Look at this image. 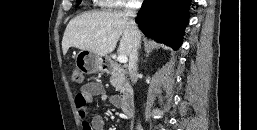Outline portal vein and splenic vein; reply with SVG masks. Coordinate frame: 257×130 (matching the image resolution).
<instances>
[{"label":"portal vein and splenic vein","mask_w":257,"mask_h":130,"mask_svg":"<svg viewBox=\"0 0 257 130\" xmlns=\"http://www.w3.org/2000/svg\"><path fill=\"white\" fill-rule=\"evenodd\" d=\"M118 62L120 63H126L128 61V58L127 56L125 55H119L118 58H117Z\"/></svg>","instance_id":"1"}]
</instances>
